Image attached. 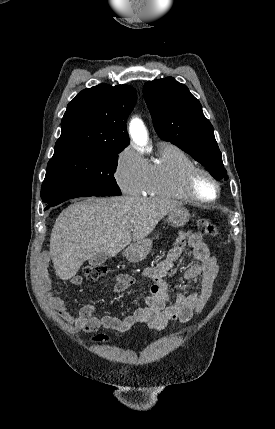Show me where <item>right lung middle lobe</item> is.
<instances>
[{"mask_svg": "<svg viewBox=\"0 0 275 429\" xmlns=\"http://www.w3.org/2000/svg\"><path fill=\"white\" fill-rule=\"evenodd\" d=\"M122 150L54 153L47 165L41 198L47 203L63 195L116 196L121 191L114 178Z\"/></svg>", "mask_w": 275, "mask_h": 429, "instance_id": "dd1d6c3e", "label": "right lung middle lobe"}]
</instances>
